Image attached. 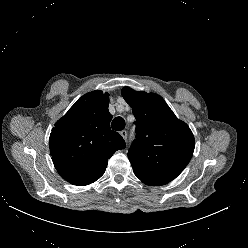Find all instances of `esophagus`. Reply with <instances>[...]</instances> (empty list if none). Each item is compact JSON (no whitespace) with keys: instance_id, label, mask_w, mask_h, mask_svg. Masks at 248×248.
Wrapping results in <instances>:
<instances>
[{"instance_id":"34e87169","label":"esophagus","mask_w":248,"mask_h":248,"mask_svg":"<svg viewBox=\"0 0 248 248\" xmlns=\"http://www.w3.org/2000/svg\"><path fill=\"white\" fill-rule=\"evenodd\" d=\"M120 135L122 136V138L126 141L127 140V135H128V132L126 130H123L120 132Z\"/></svg>"}]
</instances>
